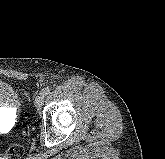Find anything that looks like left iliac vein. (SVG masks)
Wrapping results in <instances>:
<instances>
[{
    "mask_svg": "<svg viewBox=\"0 0 165 159\" xmlns=\"http://www.w3.org/2000/svg\"><path fill=\"white\" fill-rule=\"evenodd\" d=\"M44 100H45V94L43 92H40L34 101V104L37 108L42 107V105L44 104Z\"/></svg>",
    "mask_w": 165,
    "mask_h": 159,
    "instance_id": "obj_1",
    "label": "left iliac vein"
}]
</instances>
